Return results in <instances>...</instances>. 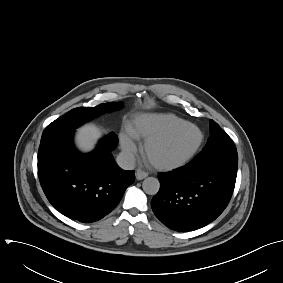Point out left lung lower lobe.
Returning a JSON list of instances; mask_svg holds the SVG:
<instances>
[{"label": "left lung lower lobe", "instance_id": "1", "mask_svg": "<svg viewBox=\"0 0 283 283\" xmlns=\"http://www.w3.org/2000/svg\"><path fill=\"white\" fill-rule=\"evenodd\" d=\"M237 168L188 163L159 174L160 189L151 201L156 217L168 228L193 231L214 221L228 205Z\"/></svg>", "mask_w": 283, "mask_h": 283}]
</instances>
